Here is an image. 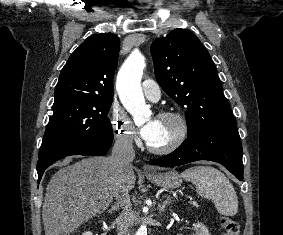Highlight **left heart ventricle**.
Returning <instances> with one entry per match:
<instances>
[{
    "mask_svg": "<svg viewBox=\"0 0 283 235\" xmlns=\"http://www.w3.org/2000/svg\"><path fill=\"white\" fill-rule=\"evenodd\" d=\"M177 132V125L172 121L159 119V128L156 136L150 142L155 147H160L168 144Z\"/></svg>",
    "mask_w": 283,
    "mask_h": 235,
    "instance_id": "1",
    "label": "left heart ventricle"
}]
</instances>
